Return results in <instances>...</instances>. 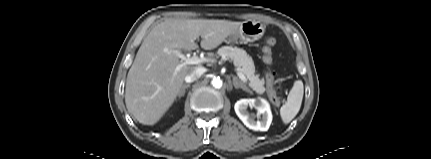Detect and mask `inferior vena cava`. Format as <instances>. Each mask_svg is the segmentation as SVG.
I'll list each match as a JSON object with an SVG mask.
<instances>
[{"mask_svg":"<svg viewBox=\"0 0 431 159\" xmlns=\"http://www.w3.org/2000/svg\"><path fill=\"white\" fill-rule=\"evenodd\" d=\"M205 68L204 67H197L195 70H193L190 74H188L185 77V81L187 83H191L194 82L197 78H199L204 72H205Z\"/></svg>","mask_w":431,"mask_h":159,"instance_id":"1","label":"inferior vena cava"}]
</instances>
